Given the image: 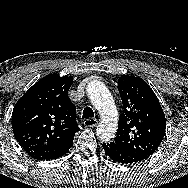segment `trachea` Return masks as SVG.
I'll return each instance as SVG.
<instances>
[{
	"instance_id": "1",
	"label": "trachea",
	"mask_w": 188,
	"mask_h": 188,
	"mask_svg": "<svg viewBox=\"0 0 188 188\" xmlns=\"http://www.w3.org/2000/svg\"><path fill=\"white\" fill-rule=\"evenodd\" d=\"M93 117H94V112L92 108L86 107L82 112V119L93 118Z\"/></svg>"
}]
</instances>
